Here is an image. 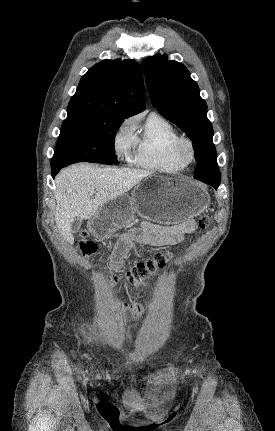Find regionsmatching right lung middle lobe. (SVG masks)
Here are the masks:
<instances>
[{
    "label": "right lung middle lobe",
    "mask_w": 275,
    "mask_h": 431,
    "mask_svg": "<svg viewBox=\"0 0 275 431\" xmlns=\"http://www.w3.org/2000/svg\"><path fill=\"white\" fill-rule=\"evenodd\" d=\"M123 118L111 115L68 116L62 123L51 166L76 162L115 164L114 139Z\"/></svg>",
    "instance_id": "dd1d6c3e"
}]
</instances>
